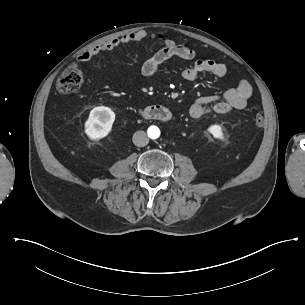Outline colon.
I'll return each mask as SVG.
<instances>
[{
	"label": "colon",
	"mask_w": 305,
	"mask_h": 305,
	"mask_svg": "<svg viewBox=\"0 0 305 305\" xmlns=\"http://www.w3.org/2000/svg\"><path fill=\"white\" fill-rule=\"evenodd\" d=\"M83 82V75L80 70L76 68L67 69L56 82V91L60 94H66L75 91ZM264 117L261 114L255 115V124L263 125Z\"/></svg>",
	"instance_id": "obj_1"
}]
</instances>
